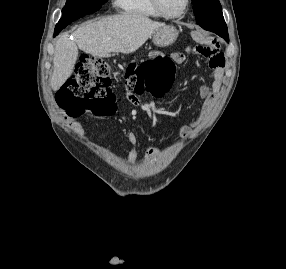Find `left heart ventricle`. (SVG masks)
I'll return each mask as SVG.
<instances>
[{
  "mask_svg": "<svg viewBox=\"0 0 286 269\" xmlns=\"http://www.w3.org/2000/svg\"><path fill=\"white\" fill-rule=\"evenodd\" d=\"M163 8L170 14L181 12L185 5V0H161Z\"/></svg>",
  "mask_w": 286,
  "mask_h": 269,
  "instance_id": "left-heart-ventricle-1",
  "label": "left heart ventricle"
}]
</instances>
